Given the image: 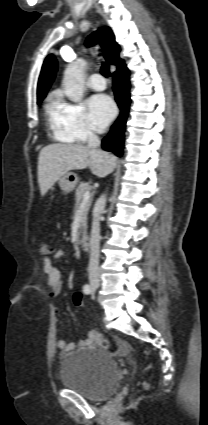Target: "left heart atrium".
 I'll return each instance as SVG.
<instances>
[{"label":"left heart atrium","instance_id":"obj_1","mask_svg":"<svg viewBox=\"0 0 208 425\" xmlns=\"http://www.w3.org/2000/svg\"><path fill=\"white\" fill-rule=\"evenodd\" d=\"M115 113V104L107 95H94L88 101L89 120L97 131H103L114 118Z\"/></svg>","mask_w":208,"mask_h":425}]
</instances>
